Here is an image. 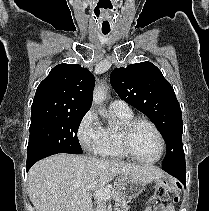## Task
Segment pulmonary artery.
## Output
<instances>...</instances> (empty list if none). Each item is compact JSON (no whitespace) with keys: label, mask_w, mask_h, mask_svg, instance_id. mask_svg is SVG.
<instances>
[{"label":"pulmonary artery","mask_w":209,"mask_h":211,"mask_svg":"<svg viewBox=\"0 0 209 211\" xmlns=\"http://www.w3.org/2000/svg\"><path fill=\"white\" fill-rule=\"evenodd\" d=\"M109 107L112 111H115V112H130L131 111L128 104L125 101L120 100V99H115L111 101Z\"/></svg>","instance_id":"e3ab8cb5"}]
</instances>
